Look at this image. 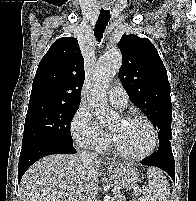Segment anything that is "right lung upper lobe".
Segmentation results:
<instances>
[{
  "instance_id": "obj_1",
  "label": "right lung upper lobe",
  "mask_w": 196,
  "mask_h": 201,
  "mask_svg": "<svg viewBox=\"0 0 196 201\" xmlns=\"http://www.w3.org/2000/svg\"><path fill=\"white\" fill-rule=\"evenodd\" d=\"M84 79V59L77 39L60 38L38 65L29 102L80 104Z\"/></svg>"
}]
</instances>
